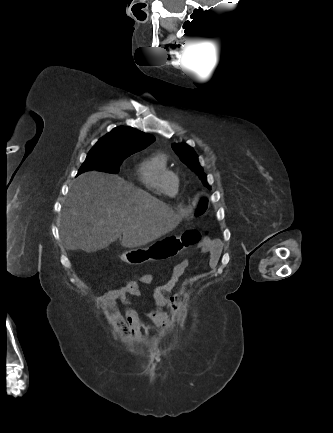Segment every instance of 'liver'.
I'll return each mask as SVG.
<instances>
[{"mask_svg": "<svg viewBox=\"0 0 333 433\" xmlns=\"http://www.w3.org/2000/svg\"><path fill=\"white\" fill-rule=\"evenodd\" d=\"M170 207L117 175L89 171L72 182L60 235L67 249L87 253L107 248L121 235L123 247L143 246L178 225L185 204L172 201Z\"/></svg>", "mask_w": 333, "mask_h": 433, "instance_id": "liver-1", "label": "liver"}]
</instances>
